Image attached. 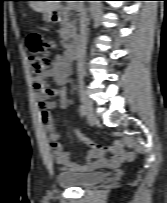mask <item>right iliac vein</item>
I'll return each instance as SVG.
<instances>
[{"mask_svg": "<svg viewBox=\"0 0 167 203\" xmlns=\"http://www.w3.org/2000/svg\"><path fill=\"white\" fill-rule=\"evenodd\" d=\"M79 95H80L81 103L85 108L86 115L88 117L89 122L90 123H96L97 118H96V115L94 113L92 101L88 98L86 91L83 88H80Z\"/></svg>", "mask_w": 167, "mask_h": 203, "instance_id": "1", "label": "right iliac vein"}]
</instances>
